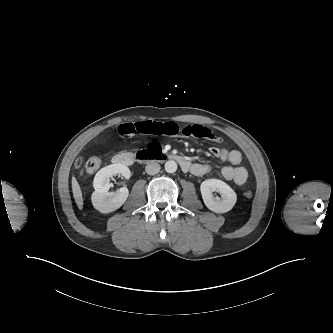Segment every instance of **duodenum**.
<instances>
[{"label": "duodenum", "mask_w": 333, "mask_h": 333, "mask_svg": "<svg viewBox=\"0 0 333 333\" xmlns=\"http://www.w3.org/2000/svg\"><path fill=\"white\" fill-rule=\"evenodd\" d=\"M135 159L141 161H167L172 160L177 162L183 172H191L194 168V164L187 160L185 157L177 154H164L160 152H152L150 150H140L134 155L130 152H123L118 154L114 158V163L119 165L130 166Z\"/></svg>", "instance_id": "obj_1"}]
</instances>
